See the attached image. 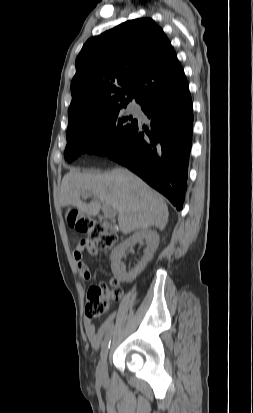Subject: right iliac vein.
<instances>
[{
    "label": "right iliac vein",
    "instance_id": "63e3f726",
    "mask_svg": "<svg viewBox=\"0 0 253 413\" xmlns=\"http://www.w3.org/2000/svg\"><path fill=\"white\" fill-rule=\"evenodd\" d=\"M97 379L101 382L106 381L108 378L107 374V363L106 360H102L96 370Z\"/></svg>",
    "mask_w": 253,
    "mask_h": 413
}]
</instances>
